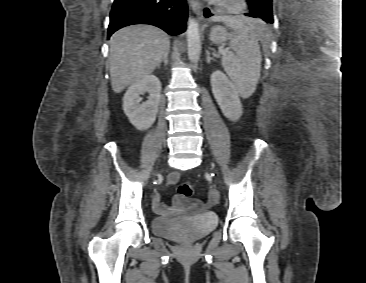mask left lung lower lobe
I'll use <instances>...</instances> for the list:
<instances>
[{"label":"left lung lower lobe","mask_w":366,"mask_h":283,"mask_svg":"<svg viewBox=\"0 0 366 283\" xmlns=\"http://www.w3.org/2000/svg\"><path fill=\"white\" fill-rule=\"evenodd\" d=\"M249 9H250V12L245 13L246 16H250V17H253V18H258L259 17L257 14L252 12V9L250 8V6H249ZM213 15L214 14H212L207 8L204 10V17L209 18Z\"/></svg>","instance_id":"obj_1"}]
</instances>
